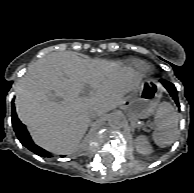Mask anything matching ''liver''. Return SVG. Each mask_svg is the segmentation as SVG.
Wrapping results in <instances>:
<instances>
[{"mask_svg": "<svg viewBox=\"0 0 194 193\" xmlns=\"http://www.w3.org/2000/svg\"><path fill=\"white\" fill-rule=\"evenodd\" d=\"M141 77L118 62L53 52L31 64L16 87L18 117L34 142L57 154L74 151L96 112L121 105ZM85 86L91 89L81 97Z\"/></svg>", "mask_w": 194, "mask_h": 193, "instance_id": "6515ba94", "label": "liver"}]
</instances>
